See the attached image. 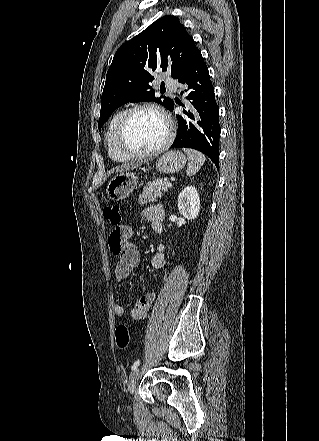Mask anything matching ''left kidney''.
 Returning a JSON list of instances; mask_svg holds the SVG:
<instances>
[{"label":"left kidney","instance_id":"obj_1","mask_svg":"<svg viewBox=\"0 0 319 441\" xmlns=\"http://www.w3.org/2000/svg\"><path fill=\"white\" fill-rule=\"evenodd\" d=\"M179 212L186 219L197 218L200 210V198L195 187H186L178 196Z\"/></svg>","mask_w":319,"mask_h":441}]
</instances>
